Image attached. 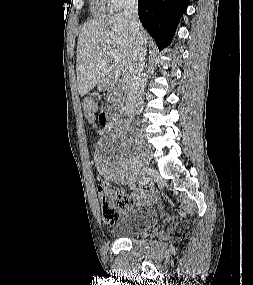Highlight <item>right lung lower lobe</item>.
Listing matches in <instances>:
<instances>
[{"mask_svg": "<svg viewBox=\"0 0 253 285\" xmlns=\"http://www.w3.org/2000/svg\"><path fill=\"white\" fill-rule=\"evenodd\" d=\"M139 18L159 50L167 47L187 9V0H139Z\"/></svg>", "mask_w": 253, "mask_h": 285, "instance_id": "obj_1", "label": "right lung lower lobe"}]
</instances>
